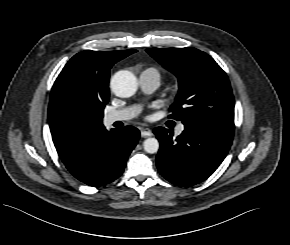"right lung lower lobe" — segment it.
I'll return each instance as SVG.
<instances>
[{
	"label": "right lung lower lobe",
	"instance_id": "98d812e1",
	"mask_svg": "<svg viewBox=\"0 0 290 245\" xmlns=\"http://www.w3.org/2000/svg\"><path fill=\"white\" fill-rule=\"evenodd\" d=\"M139 137V130L133 126L111 131L104 128L85 147L62 161L78 180L90 186H102L123 173Z\"/></svg>",
	"mask_w": 290,
	"mask_h": 245
}]
</instances>
